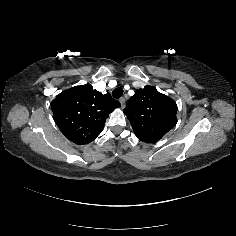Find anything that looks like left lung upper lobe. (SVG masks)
<instances>
[{
    "mask_svg": "<svg viewBox=\"0 0 236 236\" xmlns=\"http://www.w3.org/2000/svg\"><path fill=\"white\" fill-rule=\"evenodd\" d=\"M138 139L153 143L176 124L177 105L152 86L138 89L124 109Z\"/></svg>",
    "mask_w": 236,
    "mask_h": 236,
    "instance_id": "obj_1",
    "label": "left lung upper lobe"
}]
</instances>
